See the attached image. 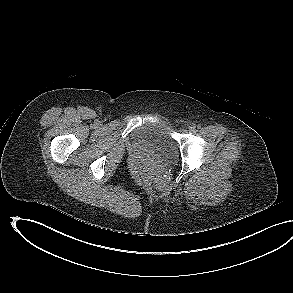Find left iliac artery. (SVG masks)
Segmentation results:
<instances>
[{
  "instance_id": "obj_1",
  "label": "left iliac artery",
  "mask_w": 293,
  "mask_h": 293,
  "mask_svg": "<svg viewBox=\"0 0 293 293\" xmlns=\"http://www.w3.org/2000/svg\"><path fill=\"white\" fill-rule=\"evenodd\" d=\"M201 128V125H197V129H200Z\"/></svg>"
}]
</instances>
